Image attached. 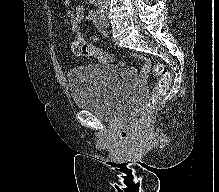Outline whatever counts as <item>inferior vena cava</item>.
I'll list each match as a JSON object with an SVG mask.
<instances>
[{"mask_svg": "<svg viewBox=\"0 0 219 192\" xmlns=\"http://www.w3.org/2000/svg\"><path fill=\"white\" fill-rule=\"evenodd\" d=\"M99 2H101L102 6L107 9L109 6V0H98Z\"/></svg>", "mask_w": 219, "mask_h": 192, "instance_id": "1", "label": "inferior vena cava"}]
</instances>
